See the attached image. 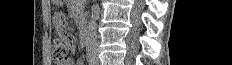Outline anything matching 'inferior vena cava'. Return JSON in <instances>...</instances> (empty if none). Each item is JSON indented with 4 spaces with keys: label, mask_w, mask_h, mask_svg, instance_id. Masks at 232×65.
<instances>
[{
    "label": "inferior vena cava",
    "mask_w": 232,
    "mask_h": 65,
    "mask_svg": "<svg viewBox=\"0 0 232 65\" xmlns=\"http://www.w3.org/2000/svg\"><path fill=\"white\" fill-rule=\"evenodd\" d=\"M96 12L97 6H92L91 20L88 24V33L86 40V52L88 61L98 60V41H97V31H96Z\"/></svg>",
    "instance_id": "1"
}]
</instances>
